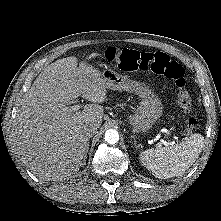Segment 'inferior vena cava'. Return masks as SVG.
<instances>
[{
    "mask_svg": "<svg viewBox=\"0 0 221 221\" xmlns=\"http://www.w3.org/2000/svg\"><path fill=\"white\" fill-rule=\"evenodd\" d=\"M97 128H99L98 126H97V124H90L89 126H88V128L86 129L87 130V135L89 136V137H92V135L94 134V133H96V130H97Z\"/></svg>",
    "mask_w": 221,
    "mask_h": 221,
    "instance_id": "1",
    "label": "inferior vena cava"
}]
</instances>
